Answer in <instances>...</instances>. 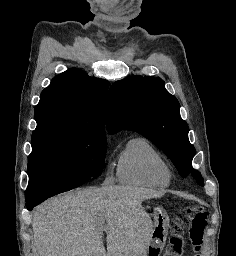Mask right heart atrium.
I'll use <instances>...</instances> for the list:
<instances>
[{
    "instance_id": "d8ad5b80",
    "label": "right heart atrium",
    "mask_w": 236,
    "mask_h": 256,
    "mask_svg": "<svg viewBox=\"0 0 236 256\" xmlns=\"http://www.w3.org/2000/svg\"><path fill=\"white\" fill-rule=\"evenodd\" d=\"M117 179V174L116 172L114 171L112 165L109 163L108 166H107V170L105 172V175H104V180H103V183L104 184H113Z\"/></svg>"
}]
</instances>
